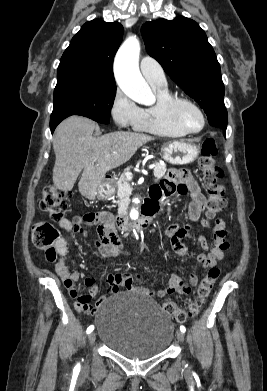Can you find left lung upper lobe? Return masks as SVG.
Listing matches in <instances>:
<instances>
[{
    "mask_svg": "<svg viewBox=\"0 0 267 391\" xmlns=\"http://www.w3.org/2000/svg\"><path fill=\"white\" fill-rule=\"evenodd\" d=\"M141 33L148 54L203 108L211 125L226 130L221 69L200 26L178 16L174 20L146 22Z\"/></svg>",
    "mask_w": 267,
    "mask_h": 391,
    "instance_id": "obj_1",
    "label": "left lung upper lobe"
}]
</instances>
